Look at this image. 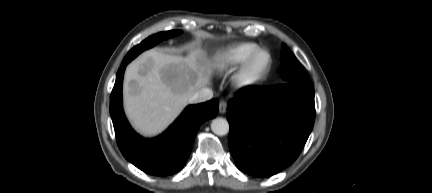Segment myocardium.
Instances as JSON below:
<instances>
[{
	"label": "myocardium",
	"instance_id": "1",
	"mask_svg": "<svg viewBox=\"0 0 432 193\" xmlns=\"http://www.w3.org/2000/svg\"><path fill=\"white\" fill-rule=\"evenodd\" d=\"M261 54H266L267 56L266 65L260 72L254 73V63ZM272 64L273 57L271 52L266 48H258L239 67V69L233 76V82L238 88L242 89L256 87L262 84L267 79L272 68Z\"/></svg>",
	"mask_w": 432,
	"mask_h": 193
}]
</instances>
